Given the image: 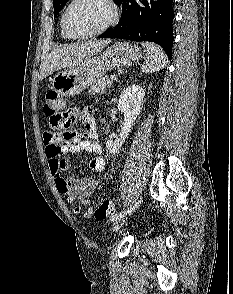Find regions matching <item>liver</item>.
Masks as SVG:
<instances>
[{"mask_svg": "<svg viewBox=\"0 0 233 294\" xmlns=\"http://www.w3.org/2000/svg\"><path fill=\"white\" fill-rule=\"evenodd\" d=\"M109 43V40H94L55 49L43 60L40 66L39 79L42 80L61 68L74 66L83 62L99 53Z\"/></svg>", "mask_w": 233, "mask_h": 294, "instance_id": "6515ba94", "label": "liver"}]
</instances>
